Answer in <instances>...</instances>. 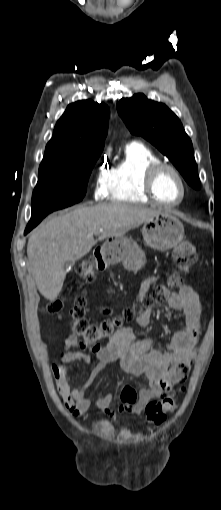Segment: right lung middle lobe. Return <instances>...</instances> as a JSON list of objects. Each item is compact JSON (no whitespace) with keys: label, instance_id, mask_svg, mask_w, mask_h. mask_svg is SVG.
I'll list each match as a JSON object with an SVG mask.
<instances>
[{"label":"right lung middle lobe","instance_id":"obj_1","mask_svg":"<svg viewBox=\"0 0 221 510\" xmlns=\"http://www.w3.org/2000/svg\"><path fill=\"white\" fill-rule=\"evenodd\" d=\"M103 148L42 160L32 195V210L53 212L80 202Z\"/></svg>","mask_w":221,"mask_h":510}]
</instances>
